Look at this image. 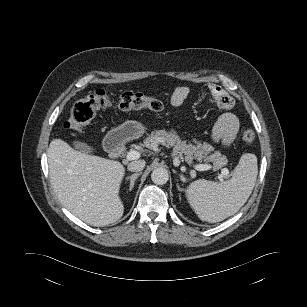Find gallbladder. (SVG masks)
<instances>
[{
	"label": "gallbladder",
	"instance_id": "bac80fb5",
	"mask_svg": "<svg viewBox=\"0 0 307 307\" xmlns=\"http://www.w3.org/2000/svg\"><path fill=\"white\" fill-rule=\"evenodd\" d=\"M73 147L80 152L88 153V154L94 151L92 146L88 145L85 142H81V141H74Z\"/></svg>",
	"mask_w": 307,
	"mask_h": 307
}]
</instances>
